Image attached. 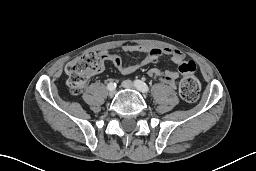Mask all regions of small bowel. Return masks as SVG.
Masks as SVG:
<instances>
[{"mask_svg": "<svg viewBox=\"0 0 256 171\" xmlns=\"http://www.w3.org/2000/svg\"><path fill=\"white\" fill-rule=\"evenodd\" d=\"M122 50L126 53H142L144 56L141 59H137L133 64L124 66L121 58L118 55L109 54L107 51H101L99 55L103 61V64L105 62H111L122 73L129 74L145 65L158 62L161 56H167L179 66V69L162 71L153 68L148 71V75L151 78L165 83L172 88L176 87V82L181 75L180 65L185 59V55L181 51L168 47H154L137 44H126L122 47ZM102 69L103 65L98 71H101Z\"/></svg>", "mask_w": 256, "mask_h": 171, "instance_id": "c3829d8e", "label": "small bowel"}]
</instances>
